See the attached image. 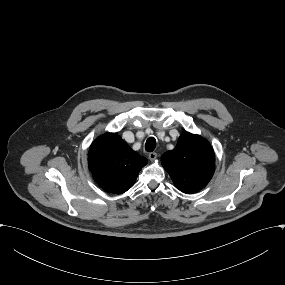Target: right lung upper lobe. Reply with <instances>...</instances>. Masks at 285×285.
<instances>
[{
    "instance_id": "cb5924a9",
    "label": "right lung upper lobe",
    "mask_w": 285,
    "mask_h": 285,
    "mask_svg": "<svg viewBox=\"0 0 285 285\" xmlns=\"http://www.w3.org/2000/svg\"><path fill=\"white\" fill-rule=\"evenodd\" d=\"M147 162L117 133L98 137L89 150L88 164L94 180L111 193L121 194L130 189Z\"/></svg>"
}]
</instances>
